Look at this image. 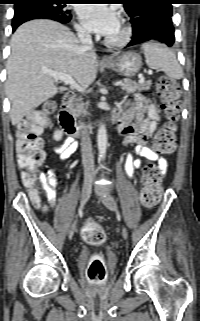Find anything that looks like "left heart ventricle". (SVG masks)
Masks as SVG:
<instances>
[{"label":"left heart ventricle","instance_id":"left-heart-ventricle-1","mask_svg":"<svg viewBox=\"0 0 200 321\" xmlns=\"http://www.w3.org/2000/svg\"><path fill=\"white\" fill-rule=\"evenodd\" d=\"M122 30L121 26H119L112 34H110L108 37L112 39H117L121 36Z\"/></svg>","mask_w":200,"mask_h":321}]
</instances>
